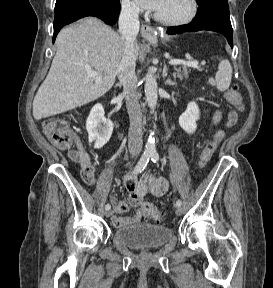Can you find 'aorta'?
Masks as SVG:
<instances>
[{
	"label": "aorta",
	"mask_w": 273,
	"mask_h": 288,
	"mask_svg": "<svg viewBox=\"0 0 273 288\" xmlns=\"http://www.w3.org/2000/svg\"><path fill=\"white\" fill-rule=\"evenodd\" d=\"M144 90L148 106L151 109L155 108L158 100V94H157V81L153 69H149L148 73L145 76ZM145 153L147 155H153L156 153L155 141L152 137L148 139V142L145 147Z\"/></svg>",
	"instance_id": "762f6f07"
}]
</instances>
